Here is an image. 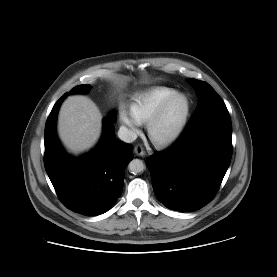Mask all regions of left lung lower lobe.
<instances>
[{
	"mask_svg": "<svg viewBox=\"0 0 277 277\" xmlns=\"http://www.w3.org/2000/svg\"><path fill=\"white\" fill-rule=\"evenodd\" d=\"M231 139L227 109L214 110L189 121L171 148L147 159L158 200L176 211H196L207 205L229 167Z\"/></svg>",
	"mask_w": 277,
	"mask_h": 277,
	"instance_id": "obj_1",
	"label": "left lung lower lobe"
}]
</instances>
